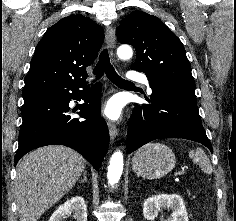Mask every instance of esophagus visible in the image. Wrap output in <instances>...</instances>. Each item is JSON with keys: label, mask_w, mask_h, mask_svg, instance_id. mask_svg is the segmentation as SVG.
<instances>
[{"label": "esophagus", "mask_w": 236, "mask_h": 221, "mask_svg": "<svg viewBox=\"0 0 236 221\" xmlns=\"http://www.w3.org/2000/svg\"><path fill=\"white\" fill-rule=\"evenodd\" d=\"M115 41H116L115 30L112 26H108L106 29V42L111 51H113L114 49ZM108 129L111 140H114L118 135V131L115 124L109 121Z\"/></svg>", "instance_id": "obj_1"}]
</instances>
